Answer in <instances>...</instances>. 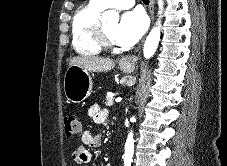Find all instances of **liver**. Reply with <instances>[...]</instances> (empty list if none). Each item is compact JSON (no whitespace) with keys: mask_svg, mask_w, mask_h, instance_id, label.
<instances>
[{"mask_svg":"<svg viewBox=\"0 0 227 166\" xmlns=\"http://www.w3.org/2000/svg\"><path fill=\"white\" fill-rule=\"evenodd\" d=\"M74 65L89 72H107L114 68L115 62L110 58L77 56L70 59L69 66Z\"/></svg>","mask_w":227,"mask_h":166,"instance_id":"1","label":"liver"}]
</instances>
